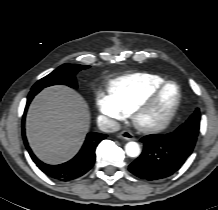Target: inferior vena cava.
I'll use <instances>...</instances> for the list:
<instances>
[{"label":"inferior vena cava","instance_id":"inferior-vena-cava-1","mask_svg":"<svg viewBox=\"0 0 218 210\" xmlns=\"http://www.w3.org/2000/svg\"><path fill=\"white\" fill-rule=\"evenodd\" d=\"M98 127L105 133H113L120 130V124L117 121L109 119L105 116L98 117Z\"/></svg>","mask_w":218,"mask_h":210}]
</instances>
